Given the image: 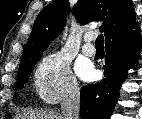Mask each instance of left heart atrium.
<instances>
[{
	"mask_svg": "<svg viewBox=\"0 0 142 119\" xmlns=\"http://www.w3.org/2000/svg\"><path fill=\"white\" fill-rule=\"evenodd\" d=\"M79 75L84 80H91L94 77V75H95V71L90 66H81L79 68Z\"/></svg>",
	"mask_w": 142,
	"mask_h": 119,
	"instance_id": "obj_1",
	"label": "left heart atrium"
}]
</instances>
